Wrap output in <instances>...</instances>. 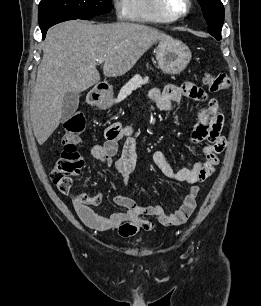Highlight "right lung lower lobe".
Wrapping results in <instances>:
<instances>
[{
	"label": "right lung lower lobe",
	"instance_id": "98d812e1",
	"mask_svg": "<svg viewBox=\"0 0 261 306\" xmlns=\"http://www.w3.org/2000/svg\"><path fill=\"white\" fill-rule=\"evenodd\" d=\"M95 16H76L72 14H64V13H51V12H39L38 14V21L40 25V29L42 32L43 38L46 36L47 30L60 22L67 21V20H74V19H82L88 20Z\"/></svg>",
	"mask_w": 261,
	"mask_h": 306
}]
</instances>
